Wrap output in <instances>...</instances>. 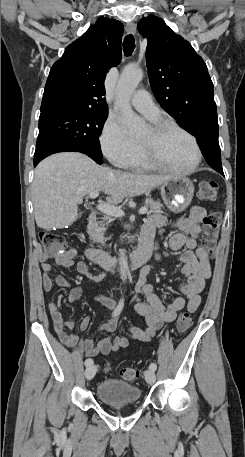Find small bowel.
I'll list each match as a JSON object with an SVG mask.
<instances>
[{"label": "small bowel", "mask_w": 245, "mask_h": 457, "mask_svg": "<svg viewBox=\"0 0 245 457\" xmlns=\"http://www.w3.org/2000/svg\"><path fill=\"white\" fill-rule=\"evenodd\" d=\"M206 217V210L201 206H194L188 215L176 221L173 226L179 231L174 233L169 240V245L173 250L185 249L181 254L183 263L182 273L186 277V282L180 285V290L184 297H178L167 305L163 304L156 295L152 285L146 283V277L152 267H145L135 286V310L143 316L147 323L146 329L130 327L125 336L114 339L103 338L97 344L92 339H81L76 334L70 332L74 323L66 320L60 311L62 296L57 295L49 299L48 307L54 328L60 341L70 348L77 349L86 356L105 355L126 348L131 340L149 341L165 323L176 319L177 313L184 307L190 312L197 310L201 303V292L204 289L206 280L210 277V263L202 247L198 245V237L201 232V224ZM168 225V220L162 213L153 214L143 227L142 247L149 248L152 252L156 250V235L162 234ZM74 251L65 250L54 256L56 263L62 267L70 268L75 266L76 270L94 281L102 280V275L90 273L85 263L77 264L73 261ZM50 257L41 255L42 283L46 292H50L55 285L69 287L70 284L60 275H52L53 267L49 263ZM82 295L80 287H73L70 290L68 300L74 302ZM144 298V300L141 299ZM96 300L111 309V316L108 321L100 328L101 331L113 332L116 329L117 321L120 316L117 303L103 296L96 295ZM89 318L86 317L80 324V330L87 328Z\"/></svg>", "instance_id": "1"}]
</instances>
